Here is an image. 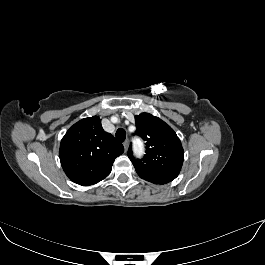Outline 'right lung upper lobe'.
Masks as SVG:
<instances>
[{
	"instance_id": "obj_1",
	"label": "right lung upper lobe",
	"mask_w": 265,
	"mask_h": 265,
	"mask_svg": "<svg viewBox=\"0 0 265 265\" xmlns=\"http://www.w3.org/2000/svg\"><path fill=\"white\" fill-rule=\"evenodd\" d=\"M123 152V145L103 130L98 116H93L70 127L61 140L59 156L69 179L89 186L106 178Z\"/></svg>"
}]
</instances>
